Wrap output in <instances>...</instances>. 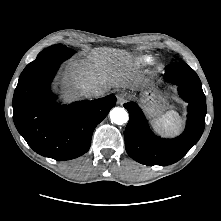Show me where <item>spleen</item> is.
<instances>
[{
    "label": "spleen",
    "mask_w": 221,
    "mask_h": 221,
    "mask_svg": "<svg viewBox=\"0 0 221 221\" xmlns=\"http://www.w3.org/2000/svg\"><path fill=\"white\" fill-rule=\"evenodd\" d=\"M153 129L162 136H173L180 133L183 121L176 111H167L161 118L151 122Z\"/></svg>",
    "instance_id": "obj_1"
}]
</instances>
